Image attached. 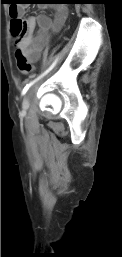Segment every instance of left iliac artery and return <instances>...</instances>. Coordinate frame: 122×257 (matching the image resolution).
<instances>
[{"mask_svg":"<svg viewBox=\"0 0 122 257\" xmlns=\"http://www.w3.org/2000/svg\"><path fill=\"white\" fill-rule=\"evenodd\" d=\"M57 62V59L53 62V64L49 67V69L43 73L41 76H39L38 78H36L35 80L31 81L30 83L26 84V86L23 88L22 90V95H24L28 90L29 88L37 81L39 80L42 76H44L45 74H47L56 64Z\"/></svg>","mask_w":122,"mask_h":257,"instance_id":"1","label":"left iliac artery"}]
</instances>
